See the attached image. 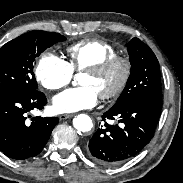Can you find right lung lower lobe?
<instances>
[{
	"label": "right lung lower lobe",
	"instance_id": "obj_1",
	"mask_svg": "<svg viewBox=\"0 0 183 183\" xmlns=\"http://www.w3.org/2000/svg\"><path fill=\"white\" fill-rule=\"evenodd\" d=\"M46 103L45 95L38 90L0 91V151L15 160L42 151L59 118L37 116L30 124L26 119L30 111L41 110Z\"/></svg>",
	"mask_w": 183,
	"mask_h": 183
}]
</instances>
